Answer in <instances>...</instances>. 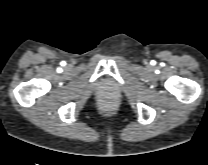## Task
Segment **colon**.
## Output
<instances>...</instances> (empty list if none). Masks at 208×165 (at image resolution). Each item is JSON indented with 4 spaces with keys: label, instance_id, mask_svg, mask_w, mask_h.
Instances as JSON below:
<instances>
[{
    "label": "colon",
    "instance_id": "colon-1",
    "mask_svg": "<svg viewBox=\"0 0 208 165\" xmlns=\"http://www.w3.org/2000/svg\"><path fill=\"white\" fill-rule=\"evenodd\" d=\"M104 106H108V102H104Z\"/></svg>",
    "mask_w": 208,
    "mask_h": 165
}]
</instances>
